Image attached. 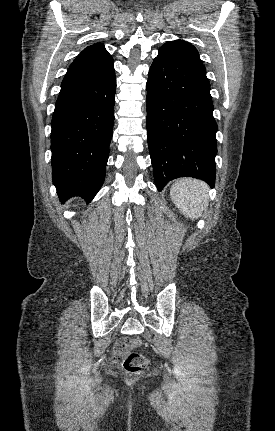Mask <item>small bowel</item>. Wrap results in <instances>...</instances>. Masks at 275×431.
Listing matches in <instances>:
<instances>
[{
  "mask_svg": "<svg viewBox=\"0 0 275 431\" xmlns=\"http://www.w3.org/2000/svg\"><path fill=\"white\" fill-rule=\"evenodd\" d=\"M127 352L128 348L125 346V341L117 342L113 349L114 361L119 362Z\"/></svg>",
  "mask_w": 275,
  "mask_h": 431,
  "instance_id": "small-bowel-1",
  "label": "small bowel"
}]
</instances>
